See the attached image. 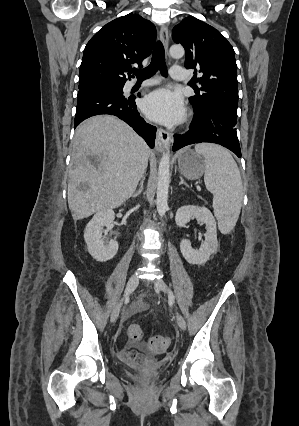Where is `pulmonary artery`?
<instances>
[{"mask_svg":"<svg viewBox=\"0 0 299 426\" xmlns=\"http://www.w3.org/2000/svg\"><path fill=\"white\" fill-rule=\"evenodd\" d=\"M170 76L172 79L177 81H183L186 79L185 70L180 66H173L170 69ZM160 79H149L142 83V86H151L159 83Z\"/></svg>","mask_w":299,"mask_h":426,"instance_id":"obj_1","label":"pulmonary artery"}]
</instances>
